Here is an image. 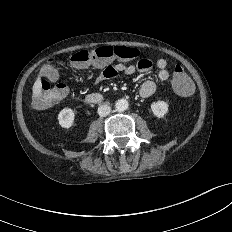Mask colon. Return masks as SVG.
<instances>
[{
  "label": "colon",
  "instance_id": "colon-1",
  "mask_svg": "<svg viewBox=\"0 0 232 232\" xmlns=\"http://www.w3.org/2000/svg\"><path fill=\"white\" fill-rule=\"evenodd\" d=\"M139 55L140 51L134 47L101 46L92 50H82L74 53L69 58V64L74 68L82 69L90 64H104L114 59L130 61ZM65 64L63 61L50 59L42 68L39 92L32 101L35 109H46L54 101L67 95L68 87L65 84L59 83L54 86L50 84V82L57 80L58 69ZM172 85L175 92L180 96H188L193 91L192 82L180 65L174 67Z\"/></svg>",
  "mask_w": 232,
  "mask_h": 232
}]
</instances>
